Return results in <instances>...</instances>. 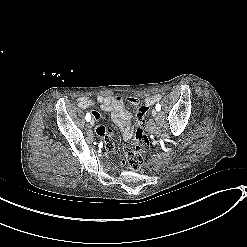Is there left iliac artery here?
<instances>
[{"mask_svg": "<svg viewBox=\"0 0 247 247\" xmlns=\"http://www.w3.org/2000/svg\"><path fill=\"white\" fill-rule=\"evenodd\" d=\"M155 108H156L157 111H160L161 110V105L158 103V104H156Z\"/></svg>", "mask_w": 247, "mask_h": 247, "instance_id": "1", "label": "left iliac artery"}]
</instances>
